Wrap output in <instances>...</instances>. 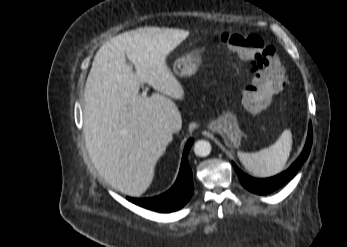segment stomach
I'll use <instances>...</instances> for the list:
<instances>
[{
    "label": "stomach",
    "instance_id": "obj_1",
    "mask_svg": "<svg viewBox=\"0 0 347 247\" xmlns=\"http://www.w3.org/2000/svg\"><path fill=\"white\" fill-rule=\"evenodd\" d=\"M204 53V48H198L179 58L174 63V73L180 77L194 75L202 62ZM208 128L213 132L219 133L225 139L226 143L231 146H239L241 131L238 126L237 116L233 111H223L217 119L209 123Z\"/></svg>",
    "mask_w": 347,
    "mask_h": 247
}]
</instances>
